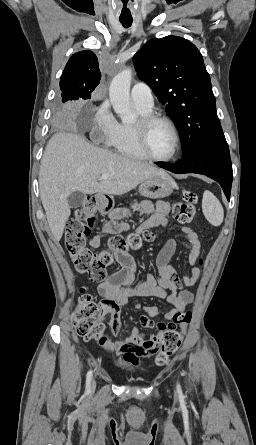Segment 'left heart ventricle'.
<instances>
[{
  "label": "left heart ventricle",
  "mask_w": 256,
  "mask_h": 445,
  "mask_svg": "<svg viewBox=\"0 0 256 445\" xmlns=\"http://www.w3.org/2000/svg\"><path fill=\"white\" fill-rule=\"evenodd\" d=\"M174 135L170 127L163 122L152 124L148 130V145L157 157H168L174 149Z\"/></svg>",
  "instance_id": "obj_1"
}]
</instances>
